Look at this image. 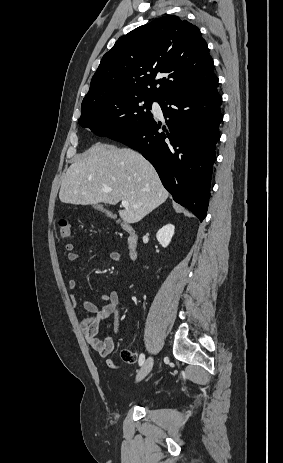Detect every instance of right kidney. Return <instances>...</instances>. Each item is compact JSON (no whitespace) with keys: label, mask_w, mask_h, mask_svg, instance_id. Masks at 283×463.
<instances>
[{"label":"right kidney","mask_w":283,"mask_h":463,"mask_svg":"<svg viewBox=\"0 0 283 463\" xmlns=\"http://www.w3.org/2000/svg\"><path fill=\"white\" fill-rule=\"evenodd\" d=\"M174 225L167 224L163 226L156 234L157 240L160 242L162 247L166 248L174 235Z\"/></svg>","instance_id":"obj_1"}]
</instances>
